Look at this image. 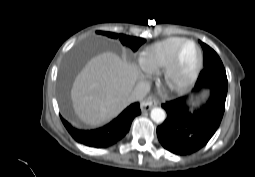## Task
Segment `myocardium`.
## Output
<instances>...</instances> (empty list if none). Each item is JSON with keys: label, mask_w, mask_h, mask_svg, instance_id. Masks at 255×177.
<instances>
[{"label": "myocardium", "mask_w": 255, "mask_h": 177, "mask_svg": "<svg viewBox=\"0 0 255 177\" xmlns=\"http://www.w3.org/2000/svg\"><path fill=\"white\" fill-rule=\"evenodd\" d=\"M187 45H192L195 48L197 54L196 61L188 77L181 82H175L174 73L179 64L181 54ZM202 61L203 55L199 45L193 40L185 39V41L177 47L169 62L163 67L164 82L174 91L183 92L187 90L196 82L202 67Z\"/></svg>", "instance_id": "1"}]
</instances>
